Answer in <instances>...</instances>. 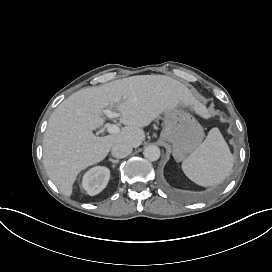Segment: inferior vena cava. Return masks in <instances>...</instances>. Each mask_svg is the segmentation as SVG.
<instances>
[{"label": "inferior vena cava", "instance_id": "1", "mask_svg": "<svg viewBox=\"0 0 272 272\" xmlns=\"http://www.w3.org/2000/svg\"><path fill=\"white\" fill-rule=\"evenodd\" d=\"M131 152L132 146L125 143H117L111 149L112 156H114L115 158H125Z\"/></svg>", "mask_w": 272, "mask_h": 272}]
</instances>
